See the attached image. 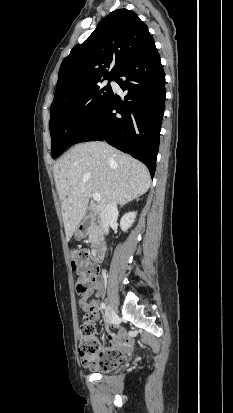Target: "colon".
I'll list each match as a JSON object with an SVG mask.
<instances>
[{"label": "colon", "mask_w": 233, "mask_h": 413, "mask_svg": "<svg viewBox=\"0 0 233 413\" xmlns=\"http://www.w3.org/2000/svg\"><path fill=\"white\" fill-rule=\"evenodd\" d=\"M71 264L77 273L76 289L80 295L86 294L95 284L98 265L90 258L88 251L75 249L71 251ZM79 356L85 366L90 369L109 370L116 366L121 356L110 353L100 357V344L95 336L93 315L87 314L80 326Z\"/></svg>", "instance_id": "obj_1"}]
</instances>
